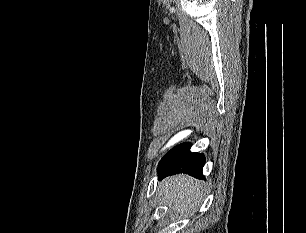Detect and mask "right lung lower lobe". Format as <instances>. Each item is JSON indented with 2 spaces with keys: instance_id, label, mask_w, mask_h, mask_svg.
<instances>
[{
  "instance_id": "1",
  "label": "right lung lower lobe",
  "mask_w": 306,
  "mask_h": 233,
  "mask_svg": "<svg viewBox=\"0 0 306 233\" xmlns=\"http://www.w3.org/2000/svg\"><path fill=\"white\" fill-rule=\"evenodd\" d=\"M190 146V143L180 144L161 159L158 166L159 179L182 172L196 178H204L202 169L205 158L202 154L190 152Z\"/></svg>"
}]
</instances>
